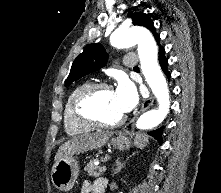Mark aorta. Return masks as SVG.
Segmentation results:
<instances>
[{
    "mask_svg": "<svg viewBox=\"0 0 221 193\" xmlns=\"http://www.w3.org/2000/svg\"><path fill=\"white\" fill-rule=\"evenodd\" d=\"M110 42L116 48L138 45L142 73L158 101L159 108L142 114L136 121V127L151 129L158 126L169 112L170 97L165 77L158 65L157 45L153 36L141 27L119 28L112 33Z\"/></svg>",
    "mask_w": 221,
    "mask_h": 193,
    "instance_id": "aorta-1",
    "label": "aorta"
}]
</instances>
